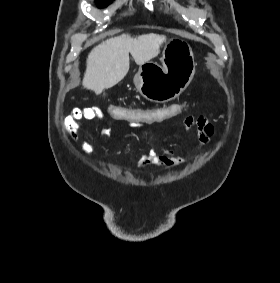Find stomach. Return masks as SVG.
<instances>
[{"label": "stomach", "mask_w": 280, "mask_h": 283, "mask_svg": "<svg viewBox=\"0 0 280 283\" xmlns=\"http://www.w3.org/2000/svg\"><path fill=\"white\" fill-rule=\"evenodd\" d=\"M160 60L161 65L155 62L140 65L134 76L137 91L153 102H167L178 97L195 74L193 51L184 39H168Z\"/></svg>", "instance_id": "1"}]
</instances>
